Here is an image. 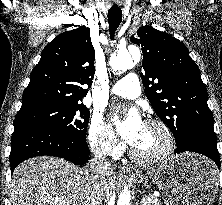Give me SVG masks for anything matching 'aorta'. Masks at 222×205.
<instances>
[{"instance_id": "762f6f07", "label": "aorta", "mask_w": 222, "mask_h": 205, "mask_svg": "<svg viewBox=\"0 0 222 205\" xmlns=\"http://www.w3.org/2000/svg\"><path fill=\"white\" fill-rule=\"evenodd\" d=\"M137 54L139 56V52ZM110 64L112 69L119 73L131 69L134 66L132 56L128 50L119 51L117 55L111 59ZM132 195H133V189L128 185L124 186L117 200V205H129ZM114 204H115V197H113L110 200L108 205H114Z\"/></svg>"}]
</instances>
